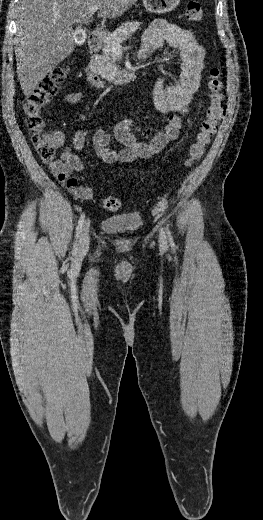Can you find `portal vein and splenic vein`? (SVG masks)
Returning <instances> with one entry per match:
<instances>
[{
	"mask_svg": "<svg viewBox=\"0 0 263 520\" xmlns=\"http://www.w3.org/2000/svg\"><path fill=\"white\" fill-rule=\"evenodd\" d=\"M99 6L98 5H94L92 6L90 9H89V13L91 14H94L97 10H98ZM113 43V49H118L120 48V43L119 42H112Z\"/></svg>",
	"mask_w": 263,
	"mask_h": 520,
	"instance_id": "portal-vein-and-splenic-vein-1",
	"label": "portal vein and splenic vein"
}]
</instances>
